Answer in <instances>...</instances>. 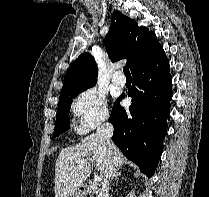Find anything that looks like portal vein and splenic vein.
<instances>
[{
    "instance_id": "obj_1",
    "label": "portal vein and splenic vein",
    "mask_w": 209,
    "mask_h": 197,
    "mask_svg": "<svg viewBox=\"0 0 209 197\" xmlns=\"http://www.w3.org/2000/svg\"><path fill=\"white\" fill-rule=\"evenodd\" d=\"M101 180H102V178L99 175H94L93 181L95 183H99V182H101Z\"/></svg>"
}]
</instances>
